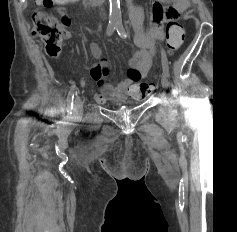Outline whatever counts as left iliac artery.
<instances>
[{
    "label": "left iliac artery",
    "mask_w": 237,
    "mask_h": 232,
    "mask_svg": "<svg viewBox=\"0 0 237 232\" xmlns=\"http://www.w3.org/2000/svg\"><path fill=\"white\" fill-rule=\"evenodd\" d=\"M116 30L120 36L122 37L126 36L122 23L117 24ZM161 61H162L163 72L168 77L169 76L168 60H167L166 53L162 47H161Z\"/></svg>",
    "instance_id": "left-iliac-artery-1"
}]
</instances>
